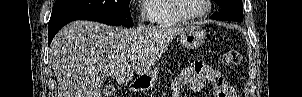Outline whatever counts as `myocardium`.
I'll list each match as a JSON object with an SVG mask.
<instances>
[{
	"instance_id": "obj_1",
	"label": "myocardium",
	"mask_w": 302,
	"mask_h": 97,
	"mask_svg": "<svg viewBox=\"0 0 302 97\" xmlns=\"http://www.w3.org/2000/svg\"><path fill=\"white\" fill-rule=\"evenodd\" d=\"M205 8L202 12L195 15H187L185 14L179 5V0H172V8L176 12V14L184 21H195L206 16L211 9V0H204Z\"/></svg>"
}]
</instances>
